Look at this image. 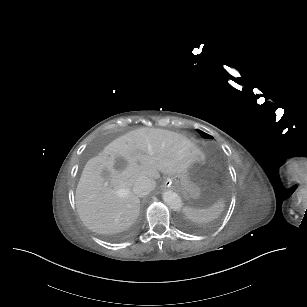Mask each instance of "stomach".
Masks as SVG:
<instances>
[{
    "mask_svg": "<svg viewBox=\"0 0 307 307\" xmlns=\"http://www.w3.org/2000/svg\"><path fill=\"white\" fill-rule=\"evenodd\" d=\"M200 164L201 160H198L182 172L169 174L165 179L166 184L181 190L183 193H192L196 189L195 180Z\"/></svg>",
    "mask_w": 307,
    "mask_h": 307,
    "instance_id": "1",
    "label": "stomach"
}]
</instances>
